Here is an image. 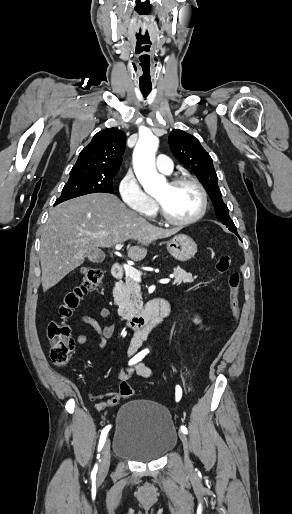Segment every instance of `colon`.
<instances>
[{
  "mask_svg": "<svg viewBox=\"0 0 292 514\" xmlns=\"http://www.w3.org/2000/svg\"><path fill=\"white\" fill-rule=\"evenodd\" d=\"M217 270L227 276L229 288V306L231 309V320L236 321L239 316V289L241 276L238 271L231 267V259L227 254L219 256L216 264ZM83 282L67 290L59 306L60 320L48 324L47 336L50 342V359L53 364L60 366L67 363L71 357L74 344L69 326L65 323L83 297L90 291L98 289L103 282L104 272L100 269L88 266L82 270ZM119 392L123 399L130 398L134 393L132 384H121ZM98 411L101 407H98Z\"/></svg>",
  "mask_w": 292,
  "mask_h": 514,
  "instance_id": "5ec220e1",
  "label": "colon"
}]
</instances>
